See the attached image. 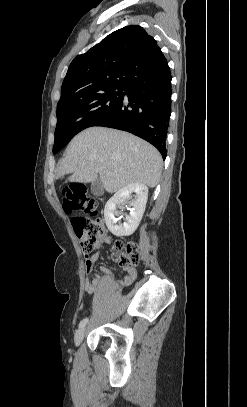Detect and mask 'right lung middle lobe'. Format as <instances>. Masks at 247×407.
I'll return each instance as SVG.
<instances>
[{"instance_id": "dd1d6c3e", "label": "right lung middle lobe", "mask_w": 247, "mask_h": 407, "mask_svg": "<svg viewBox=\"0 0 247 407\" xmlns=\"http://www.w3.org/2000/svg\"><path fill=\"white\" fill-rule=\"evenodd\" d=\"M126 87H110L57 107L53 153L60 151L80 131L94 126L124 99Z\"/></svg>"}]
</instances>
